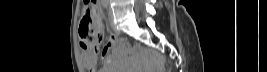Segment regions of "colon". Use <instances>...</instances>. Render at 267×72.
I'll return each mask as SVG.
<instances>
[{"label": "colon", "mask_w": 267, "mask_h": 72, "mask_svg": "<svg viewBox=\"0 0 267 72\" xmlns=\"http://www.w3.org/2000/svg\"><path fill=\"white\" fill-rule=\"evenodd\" d=\"M96 1H86L82 9L79 23V37L83 48L97 49L103 39L102 31L95 26L99 13L95 7Z\"/></svg>", "instance_id": "colon-1"}]
</instances>
